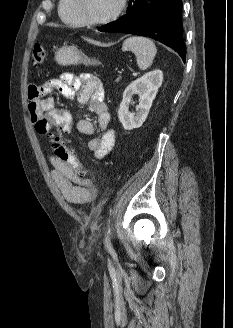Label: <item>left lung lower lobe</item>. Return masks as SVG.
<instances>
[{
	"label": "left lung lower lobe",
	"mask_w": 233,
	"mask_h": 328,
	"mask_svg": "<svg viewBox=\"0 0 233 328\" xmlns=\"http://www.w3.org/2000/svg\"><path fill=\"white\" fill-rule=\"evenodd\" d=\"M181 11L182 0H129L123 18L98 30L148 36L178 52L185 61Z\"/></svg>",
	"instance_id": "left-lung-lower-lobe-1"
}]
</instances>
